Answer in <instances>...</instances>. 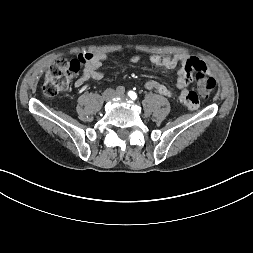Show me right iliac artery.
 I'll list each match as a JSON object with an SVG mask.
<instances>
[{
    "label": "right iliac artery",
    "instance_id": "obj_1",
    "mask_svg": "<svg viewBox=\"0 0 253 253\" xmlns=\"http://www.w3.org/2000/svg\"><path fill=\"white\" fill-rule=\"evenodd\" d=\"M124 92H125V88L123 86H118L116 88V93L117 94H124Z\"/></svg>",
    "mask_w": 253,
    "mask_h": 253
}]
</instances>
